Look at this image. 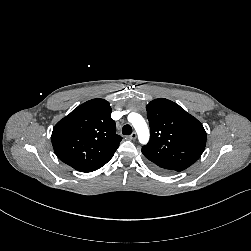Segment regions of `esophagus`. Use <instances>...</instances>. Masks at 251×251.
I'll use <instances>...</instances> for the list:
<instances>
[{
  "instance_id": "obj_1",
  "label": "esophagus",
  "mask_w": 251,
  "mask_h": 251,
  "mask_svg": "<svg viewBox=\"0 0 251 251\" xmlns=\"http://www.w3.org/2000/svg\"><path fill=\"white\" fill-rule=\"evenodd\" d=\"M130 140H135L137 138L136 132H133L129 137Z\"/></svg>"
}]
</instances>
